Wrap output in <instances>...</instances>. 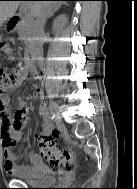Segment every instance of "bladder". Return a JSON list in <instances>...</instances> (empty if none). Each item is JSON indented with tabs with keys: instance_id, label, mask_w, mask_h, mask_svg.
I'll use <instances>...</instances> for the list:
<instances>
[{
	"instance_id": "1",
	"label": "bladder",
	"mask_w": 137,
	"mask_h": 189,
	"mask_svg": "<svg viewBox=\"0 0 137 189\" xmlns=\"http://www.w3.org/2000/svg\"><path fill=\"white\" fill-rule=\"evenodd\" d=\"M17 177L23 181L36 184L52 185L56 183L55 173L43 166L35 167L29 174L17 175Z\"/></svg>"
}]
</instances>
